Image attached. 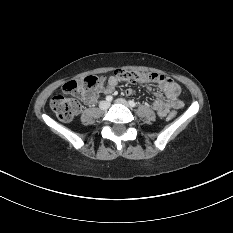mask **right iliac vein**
Listing matches in <instances>:
<instances>
[{
	"mask_svg": "<svg viewBox=\"0 0 233 233\" xmlns=\"http://www.w3.org/2000/svg\"><path fill=\"white\" fill-rule=\"evenodd\" d=\"M110 106V103L108 101H102L99 104V107L101 110H107Z\"/></svg>",
	"mask_w": 233,
	"mask_h": 233,
	"instance_id": "1",
	"label": "right iliac vein"
}]
</instances>
